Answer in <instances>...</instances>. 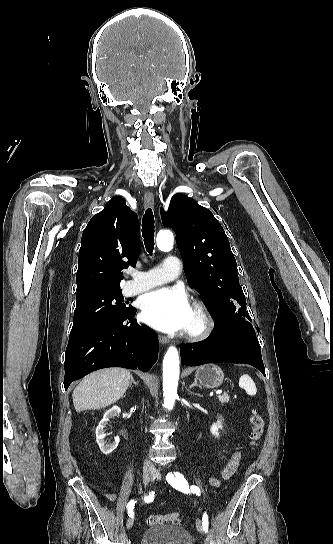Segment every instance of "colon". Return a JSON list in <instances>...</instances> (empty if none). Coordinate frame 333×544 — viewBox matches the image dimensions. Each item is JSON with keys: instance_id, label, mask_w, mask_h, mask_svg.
Returning a JSON list of instances; mask_svg holds the SVG:
<instances>
[{"instance_id": "1", "label": "colon", "mask_w": 333, "mask_h": 544, "mask_svg": "<svg viewBox=\"0 0 333 544\" xmlns=\"http://www.w3.org/2000/svg\"><path fill=\"white\" fill-rule=\"evenodd\" d=\"M250 423H251L250 438L252 443L254 445H257L263 435L264 421L262 416L257 411H253L250 417ZM146 523L149 526L165 524V523L180 525L182 523V520L177 513L173 512V513H167V514L150 515L149 517H147Z\"/></svg>"}]
</instances>
